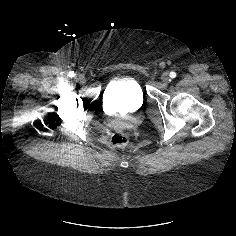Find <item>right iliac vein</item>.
Instances as JSON below:
<instances>
[{
    "instance_id": "63e3f726",
    "label": "right iliac vein",
    "mask_w": 236,
    "mask_h": 236,
    "mask_svg": "<svg viewBox=\"0 0 236 236\" xmlns=\"http://www.w3.org/2000/svg\"><path fill=\"white\" fill-rule=\"evenodd\" d=\"M75 79L79 83L84 82V77L81 74L76 75Z\"/></svg>"
}]
</instances>
